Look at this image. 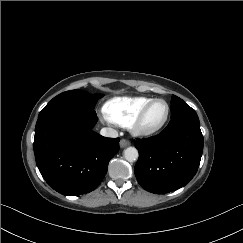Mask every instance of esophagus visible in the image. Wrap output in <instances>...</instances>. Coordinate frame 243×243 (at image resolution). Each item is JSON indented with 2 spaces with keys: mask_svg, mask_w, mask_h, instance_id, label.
<instances>
[{
  "mask_svg": "<svg viewBox=\"0 0 243 243\" xmlns=\"http://www.w3.org/2000/svg\"><path fill=\"white\" fill-rule=\"evenodd\" d=\"M129 145H130V142L128 140H126V139H121L120 140V147L121 148H125V147H127Z\"/></svg>",
  "mask_w": 243,
  "mask_h": 243,
  "instance_id": "34e87169",
  "label": "esophagus"
}]
</instances>
